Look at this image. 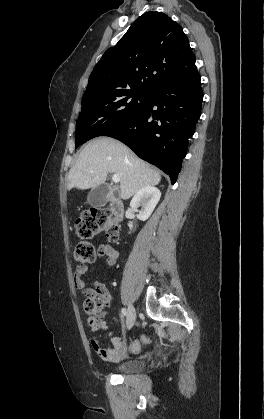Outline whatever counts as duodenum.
Returning a JSON list of instances; mask_svg holds the SVG:
<instances>
[{
  "instance_id": "obj_1",
  "label": "duodenum",
  "mask_w": 264,
  "mask_h": 419,
  "mask_svg": "<svg viewBox=\"0 0 264 419\" xmlns=\"http://www.w3.org/2000/svg\"><path fill=\"white\" fill-rule=\"evenodd\" d=\"M110 211L118 221H121L124 217L123 202L119 199H113L110 202Z\"/></svg>"
}]
</instances>
